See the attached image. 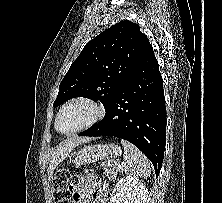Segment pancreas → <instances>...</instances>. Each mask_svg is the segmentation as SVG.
Here are the masks:
<instances>
[{"instance_id": "obj_1", "label": "pancreas", "mask_w": 222, "mask_h": 203, "mask_svg": "<svg viewBox=\"0 0 222 203\" xmlns=\"http://www.w3.org/2000/svg\"><path fill=\"white\" fill-rule=\"evenodd\" d=\"M117 163H119L117 160H112L103 165L105 174L108 176V178L112 180L116 178V175L118 173Z\"/></svg>"}]
</instances>
